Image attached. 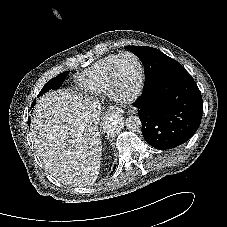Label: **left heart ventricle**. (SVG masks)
Wrapping results in <instances>:
<instances>
[{
    "label": "left heart ventricle",
    "mask_w": 227,
    "mask_h": 227,
    "mask_svg": "<svg viewBox=\"0 0 227 227\" xmlns=\"http://www.w3.org/2000/svg\"><path fill=\"white\" fill-rule=\"evenodd\" d=\"M115 78L118 91L128 96L134 92L139 81V67L132 57L122 58L116 66Z\"/></svg>",
    "instance_id": "left-heart-ventricle-1"
}]
</instances>
